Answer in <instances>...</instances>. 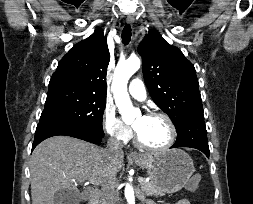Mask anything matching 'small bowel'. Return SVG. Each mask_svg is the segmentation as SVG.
Wrapping results in <instances>:
<instances>
[{
    "label": "small bowel",
    "instance_id": "small-bowel-1",
    "mask_svg": "<svg viewBox=\"0 0 253 204\" xmlns=\"http://www.w3.org/2000/svg\"><path fill=\"white\" fill-rule=\"evenodd\" d=\"M176 204H191L189 200L187 199H181Z\"/></svg>",
    "mask_w": 253,
    "mask_h": 204
}]
</instances>
